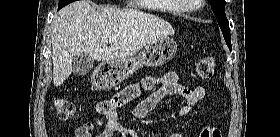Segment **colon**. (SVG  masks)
I'll return each instance as SVG.
<instances>
[{"label":"colon","mask_w":280,"mask_h":137,"mask_svg":"<svg viewBox=\"0 0 280 137\" xmlns=\"http://www.w3.org/2000/svg\"><path fill=\"white\" fill-rule=\"evenodd\" d=\"M216 72V61L212 56H207L201 59L195 67V74L201 79H209ZM123 101L130 102L134 96L128 91H123L120 94ZM53 107L58 118L66 120L72 118L76 113V106L73 102L64 97H57L53 100ZM221 133L218 129L213 128L201 132L200 137H220Z\"/></svg>","instance_id":"obj_1"}]
</instances>
